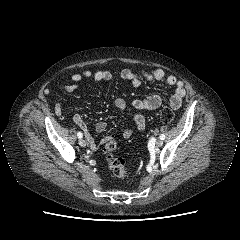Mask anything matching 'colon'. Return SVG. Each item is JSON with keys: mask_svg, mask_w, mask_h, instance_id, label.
I'll return each mask as SVG.
<instances>
[{"mask_svg": "<svg viewBox=\"0 0 240 240\" xmlns=\"http://www.w3.org/2000/svg\"><path fill=\"white\" fill-rule=\"evenodd\" d=\"M160 117L164 123H170L175 119V112L172 108L166 107L161 111ZM116 149V139L112 136L107 137L104 140L103 153L107 160L108 168L116 177L123 178L129 173L130 168L126 165L123 158L115 156Z\"/></svg>", "mask_w": 240, "mask_h": 240, "instance_id": "1", "label": "colon"}]
</instances>
